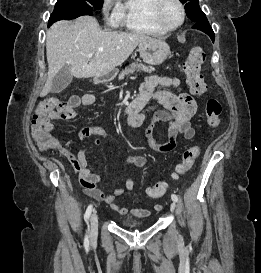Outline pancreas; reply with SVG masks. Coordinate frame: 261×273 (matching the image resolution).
I'll use <instances>...</instances> for the list:
<instances>
[{"label": "pancreas", "mask_w": 261, "mask_h": 273, "mask_svg": "<svg viewBox=\"0 0 261 273\" xmlns=\"http://www.w3.org/2000/svg\"><path fill=\"white\" fill-rule=\"evenodd\" d=\"M154 70L155 69L151 66L134 62V63H131L129 66L125 67V69L121 71V73L118 76V79L122 80L125 78V76L132 74L135 71H143V72L152 73Z\"/></svg>", "instance_id": "cf45deb5"}]
</instances>
